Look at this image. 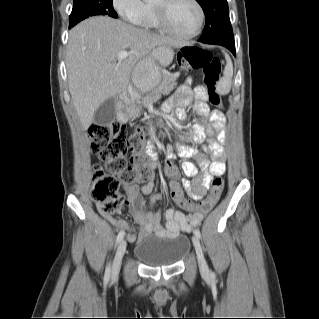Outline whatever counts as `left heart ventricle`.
Returning a JSON list of instances; mask_svg holds the SVG:
<instances>
[{"label": "left heart ventricle", "mask_w": 319, "mask_h": 319, "mask_svg": "<svg viewBox=\"0 0 319 319\" xmlns=\"http://www.w3.org/2000/svg\"><path fill=\"white\" fill-rule=\"evenodd\" d=\"M159 3V0L154 2ZM167 16L169 25L180 34H190L197 26L198 11L190 0H173Z\"/></svg>", "instance_id": "b2bd125f"}]
</instances>
